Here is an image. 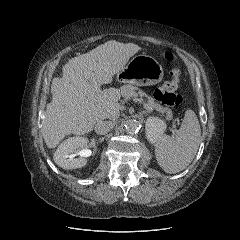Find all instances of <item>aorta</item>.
I'll return each mask as SVG.
<instances>
[{"instance_id":"aorta-1","label":"aorta","mask_w":240,"mask_h":240,"mask_svg":"<svg viewBox=\"0 0 240 240\" xmlns=\"http://www.w3.org/2000/svg\"><path fill=\"white\" fill-rule=\"evenodd\" d=\"M140 123L136 119H129L125 123L126 131L129 134H134L139 131Z\"/></svg>"}]
</instances>
